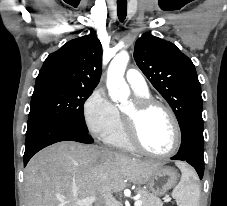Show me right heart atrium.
I'll use <instances>...</instances> for the list:
<instances>
[{
    "mask_svg": "<svg viewBox=\"0 0 227 206\" xmlns=\"http://www.w3.org/2000/svg\"><path fill=\"white\" fill-rule=\"evenodd\" d=\"M83 114L89 132L98 138H105L118 122L117 108L100 89L94 90L87 98Z\"/></svg>",
    "mask_w": 227,
    "mask_h": 206,
    "instance_id": "1",
    "label": "right heart atrium"
}]
</instances>
